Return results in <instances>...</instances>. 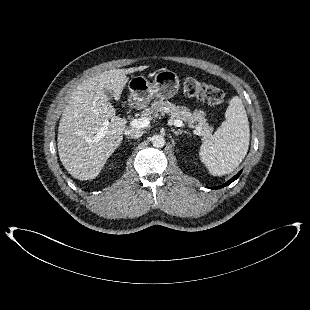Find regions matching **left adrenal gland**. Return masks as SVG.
Instances as JSON below:
<instances>
[{"label":"left adrenal gland","mask_w":310,"mask_h":310,"mask_svg":"<svg viewBox=\"0 0 310 310\" xmlns=\"http://www.w3.org/2000/svg\"><path fill=\"white\" fill-rule=\"evenodd\" d=\"M173 131V133L175 134V135H179V134H182V133H185V134H188V132L187 131H184V130H180V129H178V130H172Z\"/></svg>","instance_id":"1"}]
</instances>
